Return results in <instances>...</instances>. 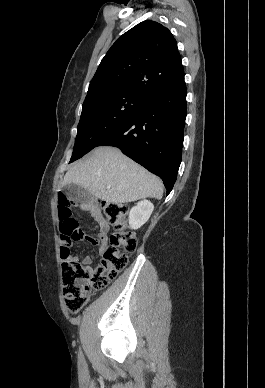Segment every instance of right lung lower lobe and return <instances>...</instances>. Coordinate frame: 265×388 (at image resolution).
Segmentation results:
<instances>
[{
    "label": "right lung lower lobe",
    "mask_w": 265,
    "mask_h": 388,
    "mask_svg": "<svg viewBox=\"0 0 265 388\" xmlns=\"http://www.w3.org/2000/svg\"><path fill=\"white\" fill-rule=\"evenodd\" d=\"M184 78L147 93L137 110L97 146H115L159 176L171 192L181 163L187 115Z\"/></svg>",
    "instance_id": "right-lung-lower-lobe-1"
}]
</instances>
